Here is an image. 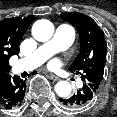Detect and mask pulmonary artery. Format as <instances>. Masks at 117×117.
<instances>
[{
	"label": "pulmonary artery",
	"instance_id": "pulmonary-artery-1",
	"mask_svg": "<svg viewBox=\"0 0 117 117\" xmlns=\"http://www.w3.org/2000/svg\"><path fill=\"white\" fill-rule=\"evenodd\" d=\"M74 39L73 28L68 24H60L49 41L38 47L32 54L18 61L17 70H31L40 66L56 52L68 49ZM78 84L81 85L82 82L79 81Z\"/></svg>",
	"mask_w": 117,
	"mask_h": 117
}]
</instances>
